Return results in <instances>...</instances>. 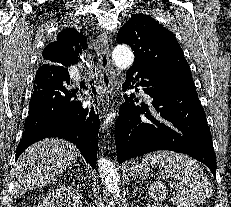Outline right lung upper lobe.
Returning a JSON list of instances; mask_svg holds the SVG:
<instances>
[{"mask_svg": "<svg viewBox=\"0 0 231 207\" xmlns=\"http://www.w3.org/2000/svg\"><path fill=\"white\" fill-rule=\"evenodd\" d=\"M81 46H86V39H75L59 33L57 40L50 43L43 50L42 61L44 66H60L66 67L78 62V54Z\"/></svg>", "mask_w": 231, "mask_h": 207, "instance_id": "obj_1", "label": "right lung upper lobe"}]
</instances>
